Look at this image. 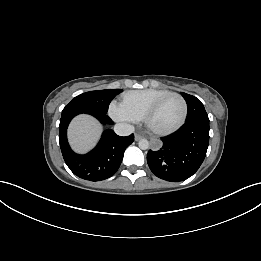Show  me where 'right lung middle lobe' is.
Here are the masks:
<instances>
[{
  "label": "right lung middle lobe",
  "mask_w": 261,
  "mask_h": 261,
  "mask_svg": "<svg viewBox=\"0 0 261 261\" xmlns=\"http://www.w3.org/2000/svg\"><path fill=\"white\" fill-rule=\"evenodd\" d=\"M121 89L90 91L73 98L64 109H78L84 112L106 114L112 99Z\"/></svg>",
  "instance_id": "dd1d6c3e"
}]
</instances>
